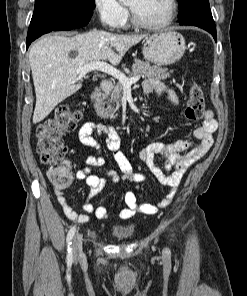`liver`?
I'll return each mask as SVG.
<instances>
[{
    "instance_id": "1",
    "label": "liver",
    "mask_w": 247,
    "mask_h": 296,
    "mask_svg": "<svg viewBox=\"0 0 247 296\" xmlns=\"http://www.w3.org/2000/svg\"><path fill=\"white\" fill-rule=\"evenodd\" d=\"M144 37L93 30L71 37L47 35L37 41L29 52L36 93L33 123L44 120L59 103L82 87L78 68L102 60L117 65ZM71 51H76L77 56L70 57Z\"/></svg>"
}]
</instances>
